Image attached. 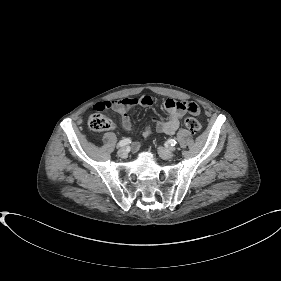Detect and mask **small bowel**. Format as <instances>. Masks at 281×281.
Returning <instances> with one entry per match:
<instances>
[{"instance_id":"1","label":"small bowel","mask_w":281,"mask_h":281,"mask_svg":"<svg viewBox=\"0 0 281 281\" xmlns=\"http://www.w3.org/2000/svg\"><path fill=\"white\" fill-rule=\"evenodd\" d=\"M191 102L185 101H175L173 99H166L163 102V107L168 113V118L165 121L158 120L153 118V123L158 132L172 135L176 132L179 127V123L183 115L189 111L192 113L188 104ZM154 104V101L151 96L143 95L139 98H123L113 101H103L95 104L94 109L96 111H102L105 109H111L121 115V126L123 130L130 131L132 126L130 119L127 116V112L135 109L138 106L141 107H150ZM152 133L150 126L146 127L143 131L144 137H149ZM140 144L135 143L133 145V150L135 152L139 151Z\"/></svg>"}]
</instances>
